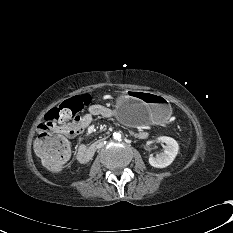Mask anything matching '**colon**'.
I'll return each instance as SVG.
<instances>
[{
	"mask_svg": "<svg viewBox=\"0 0 233 233\" xmlns=\"http://www.w3.org/2000/svg\"><path fill=\"white\" fill-rule=\"evenodd\" d=\"M90 103V96L82 94L69 98L58 107L50 110L39 125L38 137L35 142V151L44 166L51 171H58L71 158L69 141L51 131L58 120H69L78 116V113Z\"/></svg>",
	"mask_w": 233,
	"mask_h": 233,
	"instance_id": "5ec220e1",
	"label": "colon"
}]
</instances>
